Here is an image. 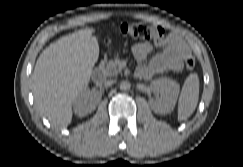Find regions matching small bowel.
I'll use <instances>...</instances> for the list:
<instances>
[{
	"label": "small bowel",
	"instance_id": "1",
	"mask_svg": "<svg viewBox=\"0 0 243 167\" xmlns=\"http://www.w3.org/2000/svg\"><path fill=\"white\" fill-rule=\"evenodd\" d=\"M154 47L162 51L147 62ZM189 54V44L177 33H162L155 37L153 44L140 42L133 46V55L138 62L137 75L143 79H151L165 72L181 71L183 60Z\"/></svg>",
	"mask_w": 243,
	"mask_h": 167
}]
</instances>
